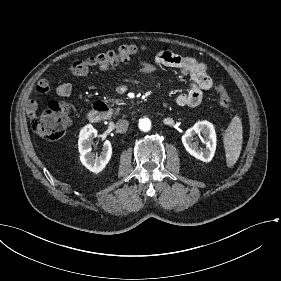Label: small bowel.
I'll use <instances>...</instances> for the list:
<instances>
[{"label": "small bowel", "mask_w": 281, "mask_h": 281, "mask_svg": "<svg viewBox=\"0 0 281 281\" xmlns=\"http://www.w3.org/2000/svg\"><path fill=\"white\" fill-rule=\"evenodd\" d=\"M136 67L146 73H152L158 68H172L178 70L190 79L189 89L176 97V104L179 107H195L202 100L203 94L212 88L213 82L209 76L207 66L194 57L181 55L172 51L159 52L153 62L138 61ZM72 74L85 78L88 75L87 65L77 61L72 66ZM50 92V85L46 80H39L33 88L27 91L26 97L27 113L34 117L37 110V103L46 98ZM56 92L61 97H67L72 92V85L69 82L61 83Z\"/></svg>", "instance_id": "obj_1"}]
</instances>
